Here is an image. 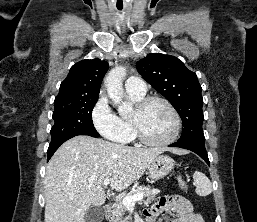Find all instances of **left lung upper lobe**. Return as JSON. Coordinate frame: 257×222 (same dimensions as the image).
Masks as SVG:
<instances>
[{
    "label": "left lung upper lobe",
    "mask_w": 257,
    "mask_h": 222,
    "mask_svg": "<svg viewBox=\"0 0 257 222\" xmlns=\"http://www.w3.org/2000/svg\"><path fill=\"white\" fill-rule=\"evenodd\" d=\"M143 79L162 94L177 110L183 121L178 142H205L201 85L197 75L178 58L151 53L136 63Z\"/></svg>",
    "instance_id": "left-lung-upper-lobe-1"
}]
</instances>
